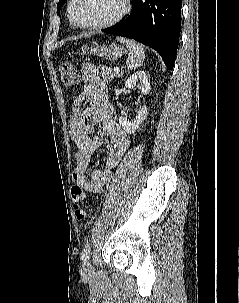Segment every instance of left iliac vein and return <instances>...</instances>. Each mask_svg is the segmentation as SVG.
I'll list each match as a JSON object with an SVG mask.
<instances>
[{
  "instance_id": "left-iliac-vein-1",
  "label": "left iliac vein",
  "mask_w": 239,
  "mask_h": 303,
  "mask_svg": "<svg viewBox=\"0 0 239 303\" xmlns=\"http://www.w3.org/2000/svg\"><path fill=\"white\" fill-rule=\"evenodd\" d=\"M86 269H88V270L92 269V266H91V264L89 262H87V264H86Z\"/></svg>"
}]
</instances>
